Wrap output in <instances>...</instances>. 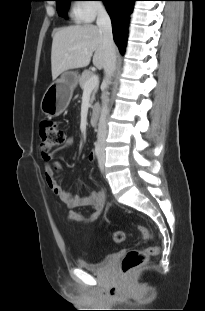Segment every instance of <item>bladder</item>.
<instances>
[{
	"mask_svg": "<svg viewBox=\"0 0 205 311\" xmlns=\"http://www.w3.org/2000/svg\"><path fill=\"white\" fill-rule=\"evenodd\" d=\"M113 258L114 255H107L98 262H88L86 260L79 259L78 266L87 271L102 272Z\"/></svg>",
	"mask_w": 205,
	"mask_h": 311,
	"instance_id": "31cf9c89",
	"label": "bladder"
}]
</instances>
